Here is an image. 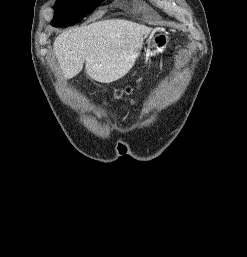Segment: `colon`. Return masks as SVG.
<instances>
[{
  "label": "colon",
  "mask_w": 247,
  "mask_h": 257,
  "mask_svg": "<svg viewBox=\"0 0 247 257\" xmlns=\"http://www.w3.org/2000/svg\"><path fill=\"white\" fill-rule=\"evenodd\" d=\"M132 91V88H126L118 92V94H129Z\"/></svg>",
  "instance_id": "colon-1"
}]
</instances>
